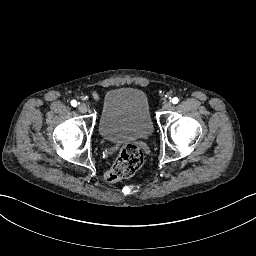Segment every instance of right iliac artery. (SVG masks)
I'll use <instances>...</instances> for the list:
<instances>
[{"mask_svg":"<svg viewBox=\"0 0 256 256\" xmlns=\"http://www.w3.org/2000/svg\"><path fill=\"white\" fill-rule=\"evenodd\" d=\"M71 105L73 106V107H76L78 104H77V101L76 100H72L71 101Z\"/></svg>","mask_w":256,"mask_h":256,"instance_id":"1","label":"right iliac artery"}]
</instances>
